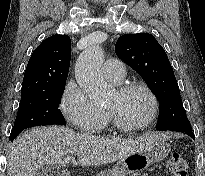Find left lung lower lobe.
<instances>
[{
    "label": "left lung lower lobe",
    "instance_id": "left-lung-lower-lobe-1",
    "mask_svg": "<svg viewBox=\"0 0 205 176\" xmlns=\"http://www.w3.org/2000/svg\"><path fill=\"white\" fill-rule=\"evenodd\" d=\"M179 132H183L187 135H189L190 137H192L193 139H195L194 133L192 132V130H184V131H179Z\"/></svg>",
    "mask_w": 205,
    "mask_h": 176
}]
</instances>
